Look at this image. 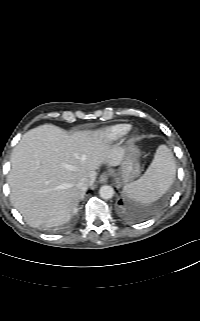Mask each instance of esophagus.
<instances>
[{"label": "esophagus", "instance_id": "1", "mask_svg": "<svg viewBox=\"0 0 200 321\" xmlns=\"http://www.w3.org/2000/svg\"><path fill=\"white\" fill-rule=\"evenodd\" d=\"M110 174L108 172H103L99 177V182L104 184L108 181Z\"/></svg>", "mask_w": 200, "mask_h": 321}]
</instances>
